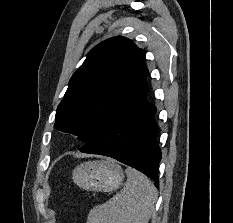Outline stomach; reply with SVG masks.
I'll return each mask as SVG.
<instances>
[{
    "label": "stomach",
    "instance_id": "0dacf381",
    "mask_svg": "<svg viewBox=\"0 0 233 223\" xmlns=\"http://www.w3.org/2000/svg\"><path fill=\"white\" fill-rule=\"evenodd\" d=\"M73 181L88 191H115L122 181L124 173L114 159L102 161H84L73 169Z\"/></svg>",
    "mask_w": 233,
    "mask_h": 223
}]
</instances>
